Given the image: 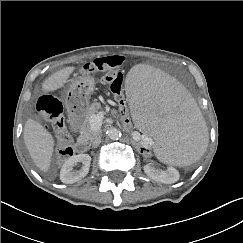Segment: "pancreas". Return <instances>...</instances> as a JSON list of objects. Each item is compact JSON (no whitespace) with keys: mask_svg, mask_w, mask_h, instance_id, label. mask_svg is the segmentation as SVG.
Instances as JSON below:
<instances>
[{"mask_svg":"<svg viewBox=\"0 0 243 243\" xmlns=\"http://www.w3.org/2000/svg\"><path fill=\"white\" fill-rule=\"evenodd\" d=\"M100 108H101V105L98 102H94L88 107L86 117L84 118L82 126L80 128V138L81 139L91 141L96 135H98L99 131L94 130L91 127L90 118L92 115L97 113Z\"/></svg>","mask_w":243,"mask_h":243,"instance_id":"1","label":"pancreas"}]
</instances>
